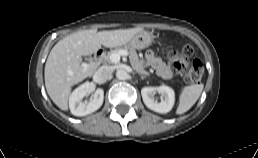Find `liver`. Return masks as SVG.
Masks as SVG:
<instances>
[{
    "mask_svg": "<svg viewBox=\"0 0 258 158\" xmlns=\"http://www.w3.org/2000/svg\"><path fill=\"white\" fill-rule=\"evenodd\" d=\"M142 30H82L58 41L49 53L44 71L46 90L52 101L61 110L67 111L72 86L92 76L95 70L94 64L82 63L81 57L95 53L101 46H123ZM84 64L87 67H84Z\"/></svg>",
    "mask_w": 258,
    "mask_h": 158,
    "instance_id": "liver-1",
    "label": "liver"
}]
</instances>
